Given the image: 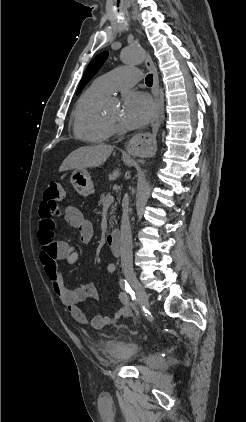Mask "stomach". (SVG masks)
<instances>
[{
  "mask_svg": "<svg viewBox=\"0 0 246 422\" xmlns=\"http://www.w3.org/2000/svg\"><path fill=\"white\" fill-rule=\"evenodd\" d=\"M70 181L75 191L82 196H88L94 192L93 182L85 169L75 170L70 177Z\"/></svg>",
  "mask_w": 246,
  "mask_h": 422,
  "instance_id": "1",
  "label": "stomach"
}]
</instances>
